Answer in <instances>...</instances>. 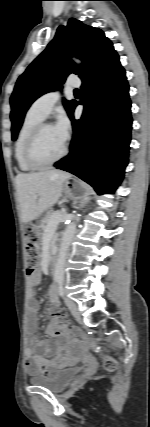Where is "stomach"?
<instances>
[{
  "mask_svg": "<svg viewBox=\"0 0 150 427\" xmlns=\"http://www.w3.org/2000/svg\"><path fill=\"white\" fill-rule=\"evenodd\" d=\"M63 192L67 198L87 201L90 198V190L79 180H66L63 184Z\"/></svg>",
  "mask_w": 150,
  "mask_h": 427,
  "instance_id": "1",
  "label": "stomach"
}]
</instances>
